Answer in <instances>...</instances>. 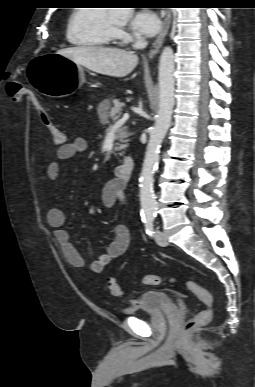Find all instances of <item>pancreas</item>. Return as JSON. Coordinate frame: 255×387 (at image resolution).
<instances>
[{
	"mask_svg": "<svg viewBox=\"0 0 255 387\" xmlns=\"http://www.w3.org/2000/svg\"><path fill=\"white\" fill-rule=\"evenodd\" d=\"M112 103L113 105L111 106L110 99H105L99 105L100 118L104 123H107L108 118L116 121L125 107V103L120 102L118 99H112ZM116 137L119 143L116 144L115 150L123 152L128 146L127 142L129 140L127 138L129 133L127 131H119ZM120 155L122 156L123 154L121 153Z\"/></svg>",
	"mask_w": 255,
	"mask_h": 387,
	"instance_id": "pancreas-1",
	"label": "pancreas"
}]
</instances>
